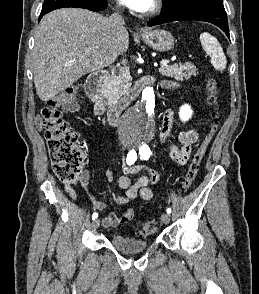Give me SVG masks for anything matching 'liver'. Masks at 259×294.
<instances>
[{
	"instance_id": "liver-1",
	"label": "liver",
	"mask_w": 259,
	"mask_h": 294,
	"mask_svg": "<svg viewBox=\"0 0 259 294\" xmlns=\"http://www.w3.org/2000/svg\"><path fill=\"white\" fill-rule=\"evenodd\" d=\"M34 39V84L38 97L45 102L83 75L109 66L129 46L127 29L115 33L107 17L77 8L45 15Z\"/></svg>"
}]
</instances>
